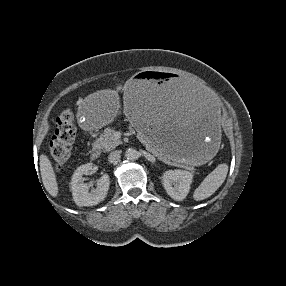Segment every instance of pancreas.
Instances as JSON below:
<instances>
[{"label": "pancreas", "mask_w": 286, "mask_h": 286, "mask_svg": "<svg viewBox=\"0 0 286 286\" xmlns=\"http://www.w3.org/2000/svg\"><path fill=\"white\" fill-rule=\"evenodd\" d=\"M115 130L114 128L107 127L104 132L96 139V141L92 144L94 149L99 151L108 152L112 149L116 148L118 145L122 144L120 139H117L114 136ZM139 140L146 146V149L158 157L160 160L167 164H172L171 159L164 156L162 153L158 151L157 148L153 147V145L149 142L147 138L143 135H138ZM175 164L177 162L173 161Z\"/></svg>", "instance_id": "pancreas-1"}]
</instances>
